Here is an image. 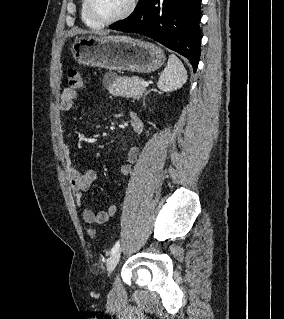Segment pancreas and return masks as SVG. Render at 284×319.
<instances>
[{
  "instance_id": "obj_1",
  "label": "pancreas",
  "mask_w": 284,
  "mask_h": 319,
  "mask_svg": "<svg viewBox=\"0 0 284 319\" xmlns=\"http://www.w3.org/2000/svg\"><path fill=\"white\" fill-rule=\"evenodd\" d=\"M108 77H112V82L106 81ZM142 81L143 79L137 76L117 77L113 74H106L104 76V84L113 96L137 100L141 98L146 90V88L141 85Z\"/></svg>"
}]
</instances>
